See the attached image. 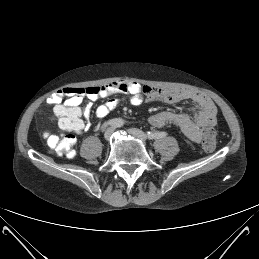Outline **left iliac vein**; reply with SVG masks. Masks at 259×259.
<instances>
[{"instance_id":"left-iliac-vein-1","label":"left iliac vein","mask_w":259,"mask_h":259,"mask_svg":"<svg viewBox=\"0 0 259 259\" xmlns=\"http://www.w3.org/2000/svg\"><path fill=\"white\" fill-rule=\"evenodd\" d=\"M128 133L134 137H137L143 141H145L147 139V135L142 132L141 130L139 129H136V128H130L128 129Z\"/></svg>"}]
</instances>
